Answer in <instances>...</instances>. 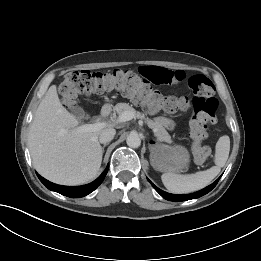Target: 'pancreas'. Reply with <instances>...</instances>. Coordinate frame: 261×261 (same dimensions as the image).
<instances>
[{
  "label": "pancreas",
  "mask_w": 261,
  "mask_h": 261,
  "mask_svg": "<svg viewBox=\"0 0 261 261\" xmlns=\"http://www.w3.org/2000/svg\"><path fill=\"white\" fill-rule=\"evenodd\" d=\"M113 110L118 114L121 115L125 111H131L134 113V117L145 119L147 125L153 129L155 136L159 141H166L171 142V138L165 128L157 121V120H150L145 118V115L137 112L132 106L127 103H118L114 106Z\"/></svg>",
  "instance_id": "1"
}]
</instances>
